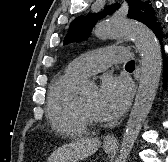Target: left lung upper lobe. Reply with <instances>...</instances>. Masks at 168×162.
Instances as JSON below:
<instances>
[{
	"mask_svg": "<svg viewBox=\"0 0 168 162\" xmlns=\"http://www.w3.org/2000/svg\"><path fill=\"white\" fill-rule=\"evenodd\" d=\"M127 2L129 4V18L138 20L147 26L156 21L154 9L151 7V4H149V1L142 2L138 0H127ZM118 7L119 4H116L107 7L102 13L89 14L86 17L79 16L74 19L70 24L67 35L64 38V44L85 40L90 35V32L97 20L108 14H112Z\"/></svg>",
	"mask_w": 168,
	"mask_h": 162,
	"instance_id": "obj_1",
	"label": "left lung upper lobe"
}]
</instances>
